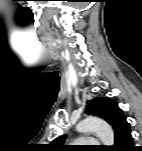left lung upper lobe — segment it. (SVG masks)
<instances>
[{"mask_svg":"<svg viewBox=\"0 0 142 151\" xmlns=\"http://www.w3.org/2000/svg\"><path fill=\"white\" fill-rule=\"evenodd\" d=\"M86 112L94 116H98L107 121L113 128L116 138L122 134L126 129L130 128L123 111L119 108L115 100L105 98H95L87 101ZM66 136H60L52 141L51 146L61 150L65 146L60 145Z\"/></svg>","mask_w":142,"mask_h":151,"instance_id":"1","label":"left lung upper lobe"}]
</instances>
